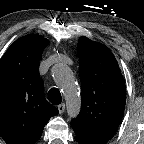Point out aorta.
<instances>
[{
    "instance_id": "obj_1",
    "label": "aorta",
    "mask_w": 144,
    "mask_h": 144,
    "mask_svg": "<svg viewBox=\"0 0 144 144\" xmlns=\"http://www.w3.org/2000/svg\"><path fill=\"white\" fill-rule=\"evenodd\" d=\"M51 72L54 80L63 90L68 115L76 117L80 111V97L71 69L66 64L59 63L52 67Z\"/></svg>"
}]
</instances>
